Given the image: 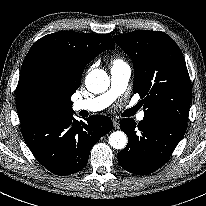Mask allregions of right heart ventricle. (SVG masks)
Masks as SVG:
<instances>
[{"label":"right heart ventricle","mask_w":206,"mask_h":206,"mask_svg":"<svg viewBox=\"0 0 206 206\" xmlns=\"http://www.w3.org/2000/svg\"><path fill=\"white\" fill-rule=\"evenodd\" d=\"M119 61H121V60L120 59H115L113 64L116 63V62H119Z\"/></svg>","instance_id":"obj_1"}]
</instances>
